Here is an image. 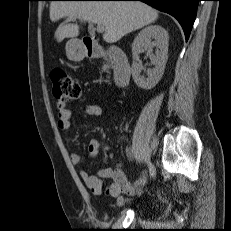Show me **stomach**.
Listing matches in <instances>:
<instances>
[{
  "label": "stomach",
  "instance_id": "1",
  "mask_svg": "<svg viewBox=\"0 0 231 231\" xmlns=\"http://www.w3.org/2000/svg\"><path fill=\"white\" fill-rule=\"evenodd\" d=\"M66 55L71 61H81L85 57V47L78 39H70L66 43Z\"/></svg>",
  "mask_w": 231,
  "mask_h": 231
}]
</instances>
